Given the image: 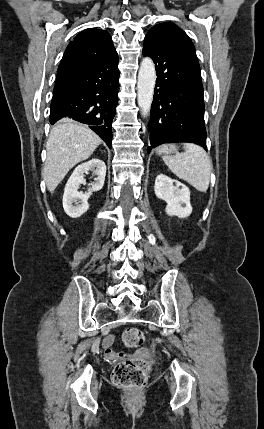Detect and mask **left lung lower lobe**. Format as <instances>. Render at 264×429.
<instances>
[{
	"instance_id": "0a47b994",
	"label": "left lung lower lobe",
	"mask_w": 264,
	"mask_h": 429,
	"mask_svg": "<svg viewBox=\"0 0 264 429\" xmlns=\"http://www.w3.org/2000/svg\"><path fill=\"white\" fill-rule=\"evenodd\" d=\"M143 55L153 59L157 75L147 152L174 142L196 143L206 150L203 86L197 58L176 37L156 31L145 36Z\"/></svg>"
}]
</instances>
